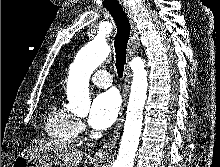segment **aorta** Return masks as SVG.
<instances>
[{
    "label": "aorta",
    "mask_w": 220,
    "mask_h": 167,
    "mask_svg": "<svg viewBox=\"0 0 220 167\" xmlns=\"http://www.w3.org/2000/svg\"><path fill=\"white\" fill-rule=\"evenodd\" d=\"M110 53V47L99 38L86 44L71 65L67 82L68 108L78 115H87L90 109L89 79ZM133 80L127 107L124 132L118 157L113 167H133L135 152L142 130L143 110L147 93V73L144 61L136 57L131 61Z\"/></svg>",
    "instance_id": "1"
}]
</instances>
